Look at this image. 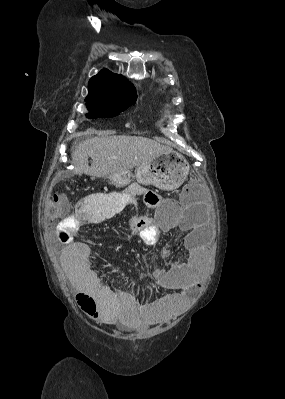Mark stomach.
<instances>
[{
	"mask_svg": "<svg viewBox=\"0 0 285 399\" xmlns=\"http://www.w3.org/2000/svg\"><path fill=\"white\" fill-rule=\"evenodd\" d=\"M189 173V165L180 153L168 150L157 154L151 161L136 167L135 176L130 172L118 177H107L115 187L128 185L133 177L142 185H154L162 190L178 188Z\"/></svg>",
	"mask_w": 285,
	"mask_h": 399,
	"instance_id": "0dacf381",
	"label": "stomach"
}]
</instances>
